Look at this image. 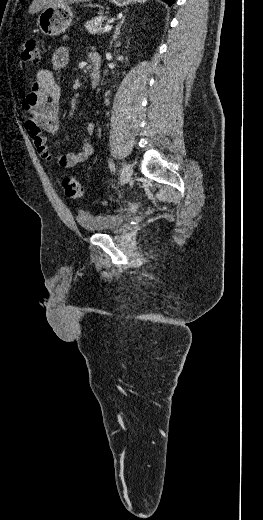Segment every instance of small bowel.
<instances>
[{
    "label": "small bowel",
    "instance_id": "small-bowel-1",
    "mask_svg": "<svg viewBox=\"0 0 263 520\" xmlns=\"http://www.w3.org/2000/svg\"><path fill=\"white\" fill-rule=\"evenodd\" d=\"M70 59L69 49L59 47L52 55V70L40 69L30 92L23 100L26 111L24 127L31 138L39 156L47 162H55L63 168H72L91 158L94 152L93 145L88 137L82 141L81 148L76 153L54 154L47 145V138L42 132L54 134L60 126V97L61 87L55 78L67 66ZM95 124L88 122L86 132L93 135Z\"/></svg>",
    "mask_w": 263,
    "mask_h": 520
}]
</instances>
